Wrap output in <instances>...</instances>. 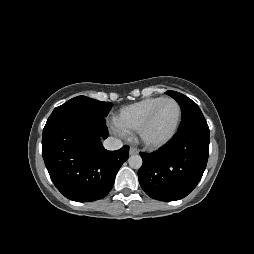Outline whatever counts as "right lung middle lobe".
Listing matches in <instances>:
<instances>
[{"label":"right lung middle lobe","mask_w":254,"mask_h":254,"mask_svg":"<svg viewBox=\"0 0 254 254\" xmlns=\"http://www.w3.org/2000/svg\"><path fill=\"white\" fill-rule=\"evenodd\" d=\"M113 104L110 102H102L85 96H77L65 102L61 106L54 109L53 112L61 110H74L82 113L105 117L109 113Z\"/></svg>","instance_id":"right-lung-middle-lobe-1"}]
</instances>
